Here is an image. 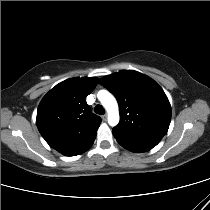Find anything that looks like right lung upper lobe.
<instances>
[{
	"instance_id": "1",
	"label": "right lung upper lobe",
	"mask_w": 210,
	"mask_h": 210,
	"mask_svg": "<svg viewBox=\"0 0 210 210\" xmlns=\"http://www.w3.org/2000/svg\"><path fill=\"white\" fill-rule=\"evenodd\" d=\"M98 83L95 77L71 78L57 84L41 100L36 124L53 149L76 156L93 144L101 118L91 112L85 98Z\"/></svg>"
}]
</instances>
